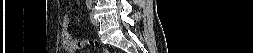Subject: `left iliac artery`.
Here are the masks:
<instances>
[{
	"mask_svg": "<svg viewBox=\"0 0 253 53\" xmlns=\"http://www.w3.org/2000/svg\"><path fill=\"white\" fill-rule=\"evenodd\" d=\"M91 4H92V1L91 0H87V7H88V9H91Z\"/></svg>",
	"mask_w": 253,
	"mask_h": 53,
	"instance_id": "obj_1",
	"label": "left iliac artery"
}]
</instances>
